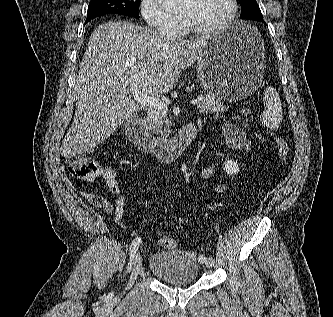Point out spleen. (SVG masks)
I'll use <instances>...</instances> for the list:
<instances>
[{"mask_svg":"<svg viewBox=\"0 0 333 317\" xmlns=\"http://www.w3.org/2000/svg\"><path fill=\"white\" fill-rule=\"evenodd\" d=\"M263 102L265 110L260 116L262 124L271 130L278 129L282 121V104L274 87L265 89Z\"/></svg>","mask_w":333,"mask_h":317,"instance_id":"1","label":"spleen"}]
</instances>
